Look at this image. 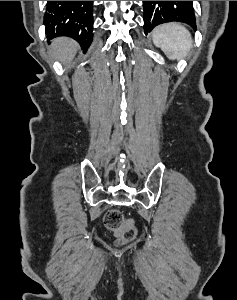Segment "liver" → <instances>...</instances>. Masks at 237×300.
<instances>
[{"label":"liver","mask_w":237,"mask_h":300,"mask_svg":"<svg viewBox=\"0 0 237 300\" xmlns=\"http://www.w3.org/2000/svg\"><path fill=\"white\" fill-rule=\"evenodd\" d=\"M51 49L57 51L63 65H69L78 51V43L73 41V39H68V37H59V39L53 41Z\"/></svg>","instance_id":"liver-1"}]
</instances>
